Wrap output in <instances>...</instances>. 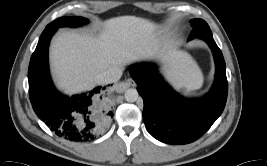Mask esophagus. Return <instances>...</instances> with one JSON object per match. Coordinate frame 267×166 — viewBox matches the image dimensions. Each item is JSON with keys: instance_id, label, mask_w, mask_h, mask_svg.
<instances>
[{"instance_id": "obj_1", "label": "esophagus", "mask_w": 267, "mask_h": 166, "mask_svg": "<svg viewBox=\"0 0 267 166\" xmlns=\"http://www.w3.org/2000/svg\"><path fill=\"white\" fill-rule=\"evenodd\" d=\"M135 86H136L135 81L133 79L129 78L125 82L119 84L117 91L122 92L129 87H135Z\"/></svg>"}]
</instances>
